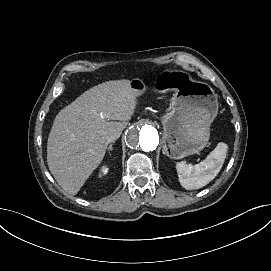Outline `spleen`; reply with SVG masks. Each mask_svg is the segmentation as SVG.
Returning <instances> with one entry per match:
<instances>
[{"instance_id": "3e777b00", "label": "spleen", "mask_w": 271, "mask_h": 271, "mask_svg": "<svg viewBox=\"0 0 271 271\" xmlns=\"http://www.w3.org/2000/svg\"><path fill=\"white\" fill-rule=\"evenodd\" d=\"M227 149V144L220 142L199 164L193 166L183 161L178 162L176 164L178 175L186 178L188 183H194L196 188L207 185L220 172L226 158Z\"/></svg>"}]
</instances>
